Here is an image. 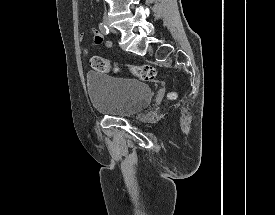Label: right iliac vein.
I'll list each match as a JSON object with an SVG mask.
<instances>
[{"mask_svg":"<svg viewBox=\"0 0 275 215\" xmlns=\"http://www.w3.org/2000/svg\"><path fill=\"white\" fill-rule=\"evenodd\" d=\"M104 23L108 26L110 25L108 17H104Z\"/></svg>","mask_w":275,"mask_h":215,"instance_id":"63e3f726","label":"right iliac vein"}]
</instances>
